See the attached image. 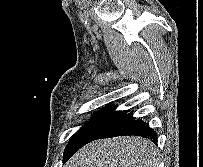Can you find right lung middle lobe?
<instances>
[{
  "instance_id": "right-lung-middle-lobe-1",
  "label": "right lung middle lobe",
  "mask_w": 203,
  "mask_h": 167,
  "mask_svg": "<svg viewBox=\"0 0 203 167\" xmlns=\"http://www.w3.org/2000/svg\"><path fill=\"white\" fill-rule=\"evenodd\" d=\"M116 107L108 105L95 113L90 121L85 123L79 131L72 137L66 150L73 155L78 149L85 144L95 140L96 138L104 135L119 121H121L127 111H115Z\"/></svg>"
}]
</instances>
